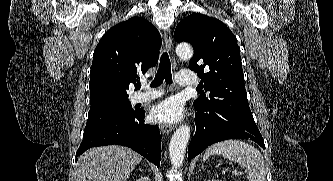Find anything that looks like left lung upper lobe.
Listing matches in <instances>:
<instances>
[{
	"label": "left lung upper lobe",
	"mask_w": 333,
	"mask_h": 181,
	"mask_svg": "<svg viewBox=\"0 0 333 181\" xmlns=\"http://www.w3.org/2000/svg\"><path fill=\"white\" fill-rule=\"evenodd\" d=\"M175 40L189 42L194 56L189 69L201 78L209 97H198L194 106L217 107L253 119L248 105L240 48L236 37L220 20L193 13L175 29Z\"/></svg>",
	"instance_id": "left-lung-upper-lobe-1"
}]
</instances>
